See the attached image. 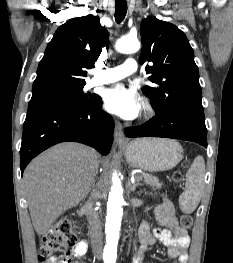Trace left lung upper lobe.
Instances as JSON below:
<instances>
[{"label":"left lung upper lobe","mask_w":233,"mask_h":263,"mask_svg":"<svg viewBox=\"0 0 233 263\" xmlns=\"http://www.w3.org/2000/svg\"><path fill=\"white\" fill-rule=\"evenodd\" d=\"M140 33V63H153L146 66V73L151 74L149 80L156 84L146 85L142 91L151 99L156 115L182 106L203 108L199 72L185 34L155 17L141 22Z\"/></svg>","instance_id":"5c2ea615"}]
</instances>
